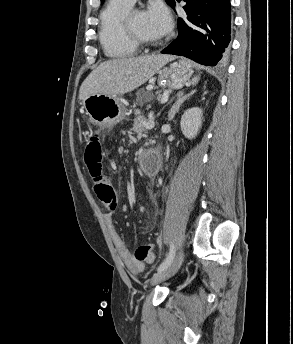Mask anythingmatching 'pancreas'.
I'll use <instances>...</instances> for the list:
<instances>
[{"instance_id": "cf45deb5", "label": "pancreas", "mask_w": 293, "mask_h": 344, "mask_svg": "<svg viewBox=\"0 0 293 344\" xmlns=\"http://www.w3.org/2000/svg\"><path fill=\"white\" fill-rule=\"evenodd\" d=\"M151 98H152V94H151V93H148L146 99H151ZM136 113L138 114V112H136ZM143 120H144V117L138 115V116L136 117V119H135V122H136V123H139V124H142Z\"/></svg>"}]
</instances>
